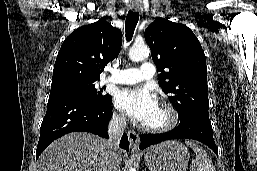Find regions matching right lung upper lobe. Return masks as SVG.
Listing matches in <instances>:
<instances>
[{
  "mask_svg": "<svg viewBox=\"0 0 257 171\" xmlns=\"http://www.w3.org/2000/svg\"><path fill=\"white\" fill-rule=\"evenodd\" d=\"M121 44V31L105 19L77 28L59 50L51 88L100 80L104 66L118 55Z\"/></svg>",
  "mask_w": 257,
  "mask_h": 171,
  "instance_id": "obj_1",
  "label": "right lung upper lobe"
}]
</instances>
